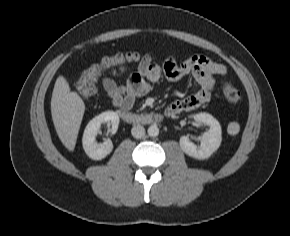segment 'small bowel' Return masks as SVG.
Wrapping results in <instances>:
<instances>
[{
    "label": "small bowel",
    "mask_w": 290,
    "mask_h": 236,
    "mask_svg": "<svg viewBox=\"0 0 290 236\" xmlns=\"http://www.w3.org/2000/svg\"><path fill=\"white\" fill-rule=\"evenodd\" d=\"M125 70V66L111 69L110 75L101 82L112 105L121 111H129L136 98L147 94L152 84L163 77L171 81L193 77L196 87L186 98L173 101L167 106L165 112L168 116L194 110L208 102L216 84L214 77H224L227 74V68L223 64L202 54H195L182 63H177L172 57H167L160 63L152 53H147L128 82L119 86L115 78Z\"/></svg>",
    "instance_id": "obj_1"
}]
</instances>
